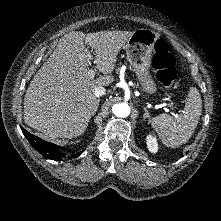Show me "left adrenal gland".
I'll list each match as a JSON object with an SVG mask.
<instances>
[{
  "label": "left adrenal gland",
  "instance_id": "a2214340",
  "mask_svg": "<svg viewBox=\"0 0 221 221\" xmlns=\"http://www.w3.org/2000/svg\"><path fill=\"white\" fill-rule=\"evenodd\" d=\"M143 109H144V111H145V113H144V115H143V120H145V119H147V118L150 119V115H149V112H148L147 108L144 107Z\"/></svg>",
  "mask_w": 221,
  "mask_h": 221
}]
</instances>
